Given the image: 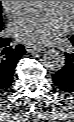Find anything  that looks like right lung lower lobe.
I'll list each match as a JSON object with an SVG mask.
<instances>
[{
    "instance_id": "1",
    "label": "right lung lower lobe",
    "mask_w": 74,
    "mask_h": 122,
    "mask_svg": "<svg viewBox=\"0 0 74 122\" xmlns=\"http://www.w3.org/2000/svg\"><path fill=\"white\" fill-rule=\"evenodd\" d=\"M23 45L10 46V39L0 37V93L8 90L18 60L25 54Z\"/></svg>"
}]
</instances>
